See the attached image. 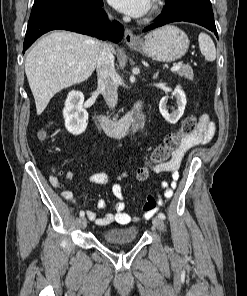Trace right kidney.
<instances>
[{
  "label": "right kidney",
  "mask_w": 247,
  "mask_h": 296,
  "mask_svg": "<svg viewBox=\"0 0 247 296\" xmlns=\"http://www.w3.org/2000/svg\"><path fill=\"white\" fill-rule=\"evenodd\" d=\"M84 95L80 91H71L67 95L63 117L65 127L73 135L82 134L88 125V113L83 108Z\"/></svg>",
  "instance_id": "obj_1"
}]
</instances>
